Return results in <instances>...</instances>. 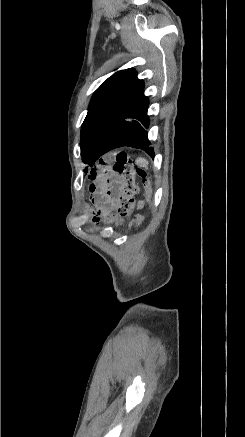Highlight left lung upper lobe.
Instances as JSON below:
<instances>
[{
    "label": "left lung upper lobe",
    "mask_w": 245,
    "mask_h": 437,
    "mask_svg": "<svg viewBox=\"0 0 245 437\" xmlns=\"http://www.w3.org/2000/svg\"><path fill=\"white\" fill-rule=\"evenodd\" d=\"M144 82L134 69L121 70L109 77L93 94L81 127L82 160L93 166L114 124L143 89Z\"/></svg>",
    "instance_id": "5c2ea615"
}]
</instances>
